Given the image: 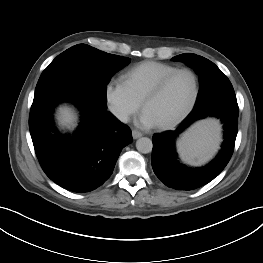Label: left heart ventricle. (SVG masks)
<instances>
[{
    "label": "left heart ventricle",
    "instance_id": "obj_1",
    "mask_svg": "<svg viewBox=\"0 0 263 263\" xmlns=\"http://www.w3.org/2000/svg\"><path fill=\"white\" fill-rule=\"evenodd\" d=\"M194 92V82L187 73L175 76L162 93L148 102L145 109L157 125L172 121L188 106Z\"/></svg>",
    "mask_w": 263,
    "mask_h": 263
}]
</instances>
